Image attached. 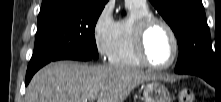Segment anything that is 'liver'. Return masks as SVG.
<instances>
[{
	"mask_svg": "<svg viewBox=\"0 0 221 102\" xmlns=\"http://www.w3.org/2000/svg\"><path fill=\"white\" fill-rule=\"evenodd\" d=\"M154 78L126 66L54 62L33 76L25 102H87L91 98H97V102H124L135 87Z\"/></svg>",
	"mask_w": 221,
	"mask_h": 102,
	"instance_id": "1",
	"label": "liver"
}]
</instances>
